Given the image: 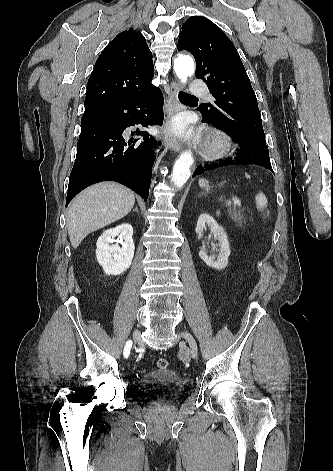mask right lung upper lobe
Segmentation results:
<instances>
[{"instance_id": "1", "label": "right lung upper lobe", "mask_w": 333, "mask_h": 471, "mask_svg": "<svg viewBox=\"0 0 333 471\" xmlns=\"http://www.w3.org/2000/svg\"><path fill=\"white\" fill-rule=\"evenodd\" d=\"M152 53L140 32L118 34L102 51L90 75L84 114L131 98L152 86Z\"/></svg>"}]
</instances>
